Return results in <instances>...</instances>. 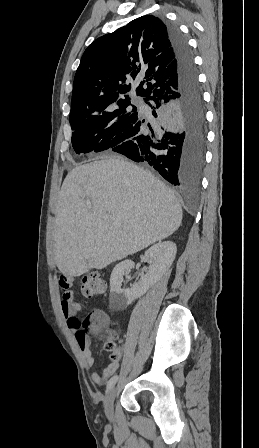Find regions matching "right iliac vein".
Returning <instances> with one entry per match:
<instances>
[{
  "mask_svg": "<svg viewBox=\"0 0 259 448\" xmlns=\"http://www.w3.org/2000/svg\"><path fill=\"white\" fill-rule=\"evenodd\" d=\"M116 387H112L108 390L104 400V410L107 418L112 420L113 418V404L116 397Z\"/></svg>",
  "mask_w": 259,
  "mask_h": 448,
  "instance_id": "obj_1",
  "label": "right iliac vein"
}]
</instances>
